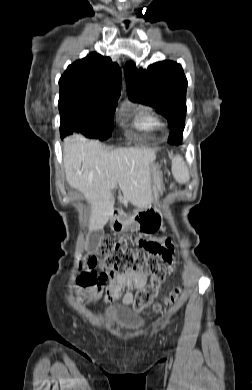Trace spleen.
I'll return each instance as SVG.
<instances>
[{
    "label": "spleen",
    "mask_w": 252,
    "mask_h": 390,
    "mask_svg": "<svg viewBox=\"0 0 252 390\" xmlns=\"http://www.w3.org/2000/svg\"><path fill=\"white\" fill-rule=\"evenodd\" d=\"M172 174L175 180L181 184L188 182L190 179L188 168L180 156H176L172 160Z\"/></svg>",
    "instance_id": "spleen-1"
}]
</instances>
